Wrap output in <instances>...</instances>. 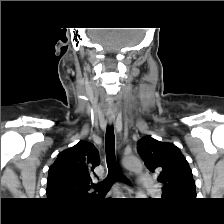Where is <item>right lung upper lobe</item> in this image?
Here are the masks:
<instances>
[{
	"label": "right lung upper lobe",
	"mask_w": 224,
	"mask_h": 224,
	"mask_svg": "<svg viewBox=\"0 0 224 224\" xmlns=\"http://www.w3.org/2000/svg\"><path fill=\"white\" fill-rule=\"evenodd\" d=\"M99 163L98 151L86 141L62 151L49 169L47 197L63 203L85 199L93 186V170Z\"/></svg>",
	"instance_id": "obj_1"
}]
</instances>
